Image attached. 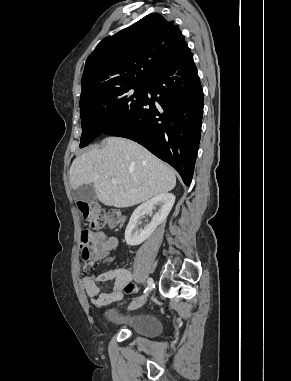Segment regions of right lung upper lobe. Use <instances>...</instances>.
<instances>
[{
  "label": "right lung upper lobe",
  "instance_id": "right-lung-upper-lobe-1",
  "mask_svg": "<svg viewBox=\"0 0 291 381\" xmlns=\"http://www.w3.org/2000/svg\"><path fill=\"white\" fill-rule=\"evenodd\" d=\"M186 48L179 26L158 13L148 14L104 38L89 55L79 104L114 87L147 83Z\"/></svg>",
  "mask_w": 291,
  "mask_h": 381
}]
</instances>
